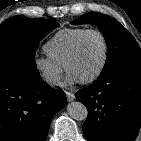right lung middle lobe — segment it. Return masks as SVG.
<instances>
[{
	"instance_id": "dd1d6c3e",
	"label": "right lung middle lobe",
	"mask_w": 141,
	"mask_h": 141,
	"mask_svg": "<svg viewBox=\"0 0 141 141\" xmlns=\"http://www.w3.org/2000/svg\"><path fill=\"white\" fill-rule=\"evenodd\" d=\"M59 25L51 20L12 17L0 26V70L38 71L34 55L44 34Z\"/></svg>"
}]
</instances>
